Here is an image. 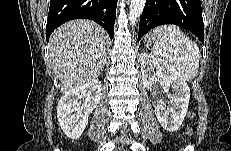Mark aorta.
<instances>
[{"label":"aorta","mask_w":231,"mask_h":151,"mask_svg":"<svg viewBox=\"0 0 231 151\" xmlns=\"http://www.w3.org/2000/svg\"><path fill=\"white\" fill-rule=\"evenodd\" d=\"M146 0H131L129 7V21L130 25L134 26L141 16Z\"/></svg>","instance_id":"aorta-1"}]
</instances>
